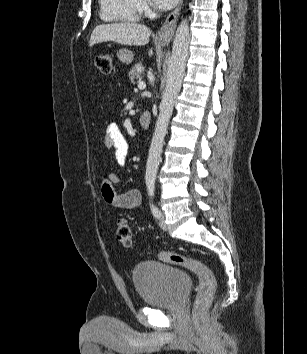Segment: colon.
<instances>
[{
	"label": "colon",
	"instance_id": "5ec220e1",
	"mask_svg": "<svg viewBox=\"0 0 307 354\" xmlns=\"http://www.w3.org/2000/svg\"><path fill=\"white\" fill-rule=\"evenodd\" d=\"M95 66L100 73L107 75L112 69V58L102 54L95 58ZM116 235L124 247L132 245V230L126 219L120 218L116 225ZM158 259L193 271L199 278V289L194 304V317L198 318L202 310L212 300L216 291V280L211 269L202 261L174 252L163 251L157 254Z\"/></svg>",
	"mask_w": 307,
	"mask_h": 354
}]
</instances>
